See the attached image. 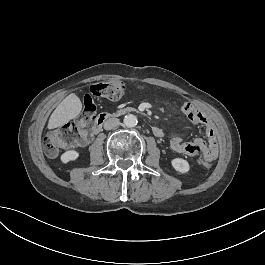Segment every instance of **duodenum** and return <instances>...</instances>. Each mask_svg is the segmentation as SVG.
<instances>
[{
    "instance_id": "duodenum-1",
    "label": "duodenum",
    "mask_w": 265,
    "mask_h": 265,
    "mask_svg": "<svg viewBox=\"0 0 265 265\" xmlns=\"http://www.w3.org/2000/svg\"><path fill=\"white\" fill-rule=\"evenodd\" d=\"M110 117L109 114H100L95 122H94V126H93V129H95L98 134L101 132L102 128H103V125L104 123L107 121V119ZM152 132L153 134L158 137V138H161L164 136V132L161 128L157 127V126H154L152 127Z\"/></svg>"
}]
</instances>
